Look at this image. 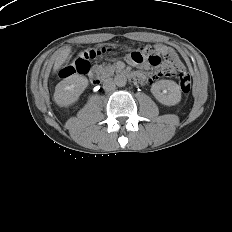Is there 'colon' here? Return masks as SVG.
<instances>
[{
    "instance_id": "5ec220e1",
    "label": "colon",
    "mask_w": 232,
    "mask_h": 232,
    "mask_svg": "<svg viewBox=\"0 0 232 232\" xmlns=\"http://www.w3.org/2000/svg\"><path fill=\"white\" fill-rule=\"evenodd\" d=\"M106 52V49H85L78 53L74 61L64 66L59 76L66 78L74 74H86L90 67V62L99 56L101 53ZM130 57L137 63L147 59L152 65H162V68L166 69L164 75L168 76L171 73L177 71L181 90L184 94H188L191 90V78L185 71L176 67L174 59L171 56L165 54V51L161 46H153L145 48L143 50L136 51L130 55Z\"/></svg>"
}]
</instances>
